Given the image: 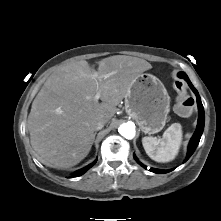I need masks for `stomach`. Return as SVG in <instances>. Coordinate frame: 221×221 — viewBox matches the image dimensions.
<instances>
[{
	"label": "stomach",
	"instance_id": "obj_1",
	"mask_svg": "<svg viewBox=\"0 0 221 221\" xmlns=\"http://www.w3.org/2000/svg\"><path fill=\"white\" fill-rule=\"evenodd\" d=\"M125 109L145 134H155L166 124L170 97L156 76L141 73L125 96Z\"/></svg>",
	"mask_w": 221,
	"mask_h": 221
}]
</instances>
